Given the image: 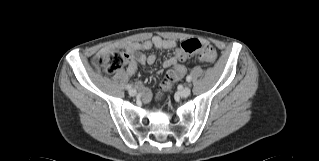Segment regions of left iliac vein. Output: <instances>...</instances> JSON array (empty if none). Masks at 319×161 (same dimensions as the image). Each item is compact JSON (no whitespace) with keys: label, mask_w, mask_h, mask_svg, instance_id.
<instances>
[{"label":"left iliac vein","mask_w":319,"mask_h":161,"mask_svg":"<svg viewBox=\"0 0 319 161\" xmlns=\"http://www.w3.org/2000/svg\"><path fill=\"white\" fill-rule=\"evenodd\" d=\"M191 89L189 87H184L179 91V95L183 98H186L190 95Z\"/></svg>","instance_id":"left-iliac-vein-1"}]
</instances>
